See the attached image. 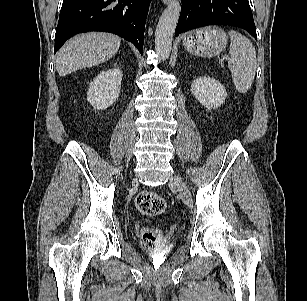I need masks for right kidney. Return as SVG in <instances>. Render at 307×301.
I'll list each match as a JSON object with an SVG mask.
<instances>
[{"instance_id": "obj_1", "label": "right kidney", "mask_w": 307, "mask_h": 301, "mask_svg": "<svg viewBox=\"0 0 307 301\" xmlns=\"http://www.w3.org/2000/svg\"><path fill=\"white\" fill-rule=\"evenodd\" d=\"M122 76L119 68L101 71L89 86L88 102L98 110L111 106L120 95Z\"/></svg>"}]
</instances>
